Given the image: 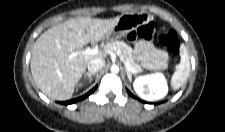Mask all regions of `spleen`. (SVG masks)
<instances>
[{
  "mask_svg": "<svg viewBox=\"0 0 225 132\" xmlns=\"http://www.w3.org/2000/svg\"><path fill=\"white\" fill-rule=\"evenodd\" d=\"M180 55V63L176 65V71L171 78V84L175 90L185 83L190 72V59L185 45L180 46Z\"/></svg>",
  "mask_w": 225,
  "mask_h": 132,
  "instance_id": "3e777b00",
  "label": "spleen"
}]
</instances>
